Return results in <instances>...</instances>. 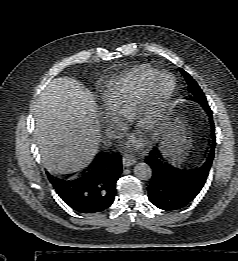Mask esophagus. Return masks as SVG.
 <instances>
[{
    "label": "esophagus",
    "instance_id": "34e87169",
    "mask_svg": "<svg viewBox=\"0 0 238 261\" xmlns=\"http://www.w3.org/2000/svg\"><path fill=\"white\" fill-rule=\"evenodd\" d=\"M136 158L131 156H124L122 159V163L124 167H130L136 163Z\"/></svg>",
    "mask_w": 238,
    "mask_h": 261
}]
</instances>
